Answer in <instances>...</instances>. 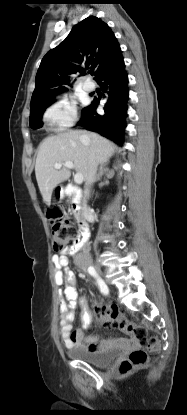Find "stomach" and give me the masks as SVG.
Masks as SVG:
<instances>
[{
	"label": "stomach",
	"instance_id": "stomach-1",
	"mask_svg": "<svg viewBox=\"0 0 187 415\" xmlns=\"http://www.w3.org/2000/svg\"><path fill=\"white\" fill-rule=\"evenodd\" d=\"M55 193H56L57 196H59V195L61 196L63 194V189L62 188L61 189L60 188H56L55 189Z\"/></svg>",
	"mask_w": 187,
	"mask_h": 415
}]
</instances>
